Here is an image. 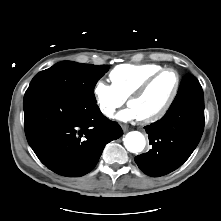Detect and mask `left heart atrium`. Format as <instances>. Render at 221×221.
<instances>
[{
    "instance_id": "obj_1",
    "label": "left heart atrium",
    "mask_w": 221,
    "mask_h": 221,
    "mask_svg": "<svg viewBox=\"0 0 221 221\" xmlns=\"http://www.w3.org/2000/svg\"><path fill=\"white\" fill-rule=\"evenodd\" d=\"M116 118L121 122H130L133 120H139V116H138L137 112L130 106L121 110L117 114Z\"/></svg>"
}]
</instances>
